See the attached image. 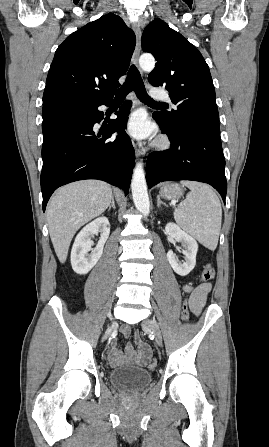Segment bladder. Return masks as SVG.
Wrapping results in <instances>:
<instances>
[{"mask_svg":"<svg viewBox=\"0 0 269 447\" xmlns=\"http://www.w3.org/2000/svg\"><path fill=\"white\" fill-rule=\"evenodd\" d=\"M111 385L120 391L138 393L144 387L150 386L153 375L146 369L123 366L109 371Z\"/></svg>","mask_w":269,"mask_h":447,"instance_id":"31cf9c89","label":"bladder"}]
</instances>
